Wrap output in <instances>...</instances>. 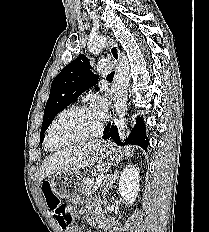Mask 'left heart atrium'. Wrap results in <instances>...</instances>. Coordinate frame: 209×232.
I'll return each mask as SVG.
<instances>
[{"mask_svg":"<svg viewBox=\"0 0 209 232\" xmlns=\"http://www.w3.org/2000/svg\"><path fill=\"white\" fill-rule=\"evenodd\" d=\"M107 102L102 97H96L92 103V111L99 119H104L107 116Z\"/></svg>","mask_w":209,"mask_h":232,"instance_id":"39dd6f15","label":"left heart atrium"}]
</instances>
